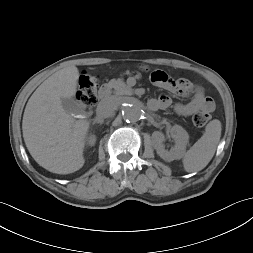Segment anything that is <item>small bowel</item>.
<instances>
[{
    "label": "small bowel",
    "instance_id": "obj_1",
    "mask_svg": "<svg viewBox=\"0 0 253 253\" xmlns=\"http://www.w3.org/2000/svg\"><path fill=\"white\" fill-rule=\"evenodd\" d=\"M154 85L171 93L187 96L192 94V99L187 103H175L174 110L180 116H190L198 112H211L214 109V101L205 95L201 86L195 85L187 79H172L165 72L159 71L158 77H152ZM173 104L172 99L163 94L158 98H152L148 102L151 110H165Z\"/></svg>",
    "mask_w": 253,
    "mask_h": 253
}]
</instances>
